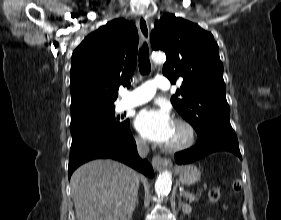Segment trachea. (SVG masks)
<instances>
[{"label":"trachea","instance_id":"3493384b","mask_svg":"<svg viewBox=\"0 0 281 220\" xmlns=\"http://www.w3.org/2000/svg\"><path fill=\"white\" fill-rule=\"evenodd\" d=\"M139 70L142 75L149 74L151 70L149 49L146 42L143 43L142 48L139 50Z\"/></svg>","mask_w":281,"mask_h":220}]
</instances>
